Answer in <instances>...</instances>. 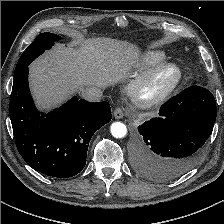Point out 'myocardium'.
<instances>
[{
    "instance_id": "f54148a6",
    "label": "myocardium",
    "mask_w": 224,
    "mask_h": 224,
    "mask_svg": "<svg viewBox=\"0 0 224 224\" xmlns=\"http://www.w3.org/2000/svg\"><path fill=\"white\" fill-rule=\"evenodd\" d=\"M163 73H169L168 82L157 92H151L156 79ZM183 77L181 67L172 62L157 64L136 78L129 89L132 101L139 107L149 108L163 103L176 89Z\"/></svg>"
}]
</instances>
